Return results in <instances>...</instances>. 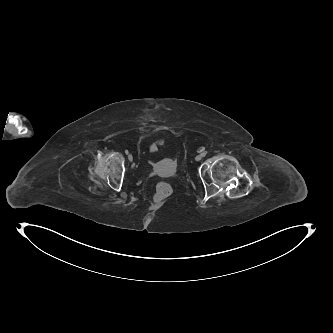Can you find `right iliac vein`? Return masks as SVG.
Returning <instances> with one entry per match:
<instances>
[{"label":"right iliac vein","mask_w":333,"mask_h":333,"mask_svg":"<svg viewBox=\"0 0 333 333\" xmlns=\"http://www.w3.org/2000/svg\"><path fill=\"white\" fill-rule=\"evenodd\" d=\"M128 159H129L130 162L133 161V156H132V154H129V155H128Z\"/></svg>","instance_id":"right-iliac-vein-1"}]
</instances>
